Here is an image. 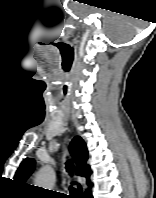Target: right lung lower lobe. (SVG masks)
<instances>
[{"label": "right lung lower lobe", "mask_w": 156, "mask_h": 198, "mask_svg": "<svg viewBox=\"0 0 156 198\" xmlns=\"http://www.w3.org/2000/svg\"><path fill=\"white\" fill-rule=\"evenodd\" d=\"M84 198H93L90 191L84 194Z\"/></svg>", "instance_id": "obj_1"}]
</instances>
